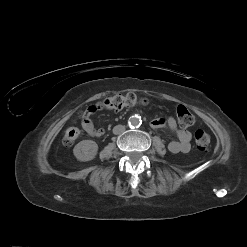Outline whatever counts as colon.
<instances>
[{
	"mask_svg": "<svg viewBox=\"0 0 247 247\" xmlns=\"http://www.w3.org/2000/svg\"><path fill=\"white\" fill-rule=\"evenodd\" d=\"M148 101L145 98L138 97L134 93L127 94H114L108 96L94 105V109H111L121 110L123 108H130L134 106L146 105ZM87 113L84 112L83 116ZM176 115L178 122L183 127H189L195 123L194 115L183 105H179L176 109ZM81 132L76 127H69L66 129L63 137V143L66 146L73 145L79 138ZM195 143L200 150H207L211 143L209 134L203 130H197L195 132Z\"/></svg>",
	"mask_w": 247,
	"mask_h": 247,
	"instance_id": "obj_1",
	"label": "colon"
}]
</instances>
